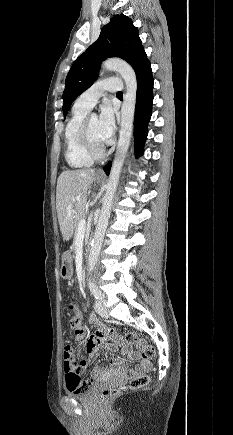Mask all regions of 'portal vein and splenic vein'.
<instances>
[{
    "mask_svg": "<svg viewBox=\"0 0 233 435\" xmlns=\"http://www.w3.org/2000/svg\"><path fill=\"white\" fill-rule=\"evenodd\" d=\"M86 230V220L82 219L79 221L78 226H77V233L78 234H83L85 233Z\"/></svg>",
    "mask_w": 233,
    "mask_h": 435,
    "instance_id": "obj_1",
    "label": "portal vein and splenic vein"
}]
</instances>
